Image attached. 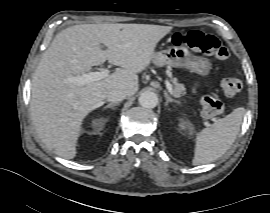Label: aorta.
Returning a JSON list of instances; mask_svg holds the SVG:
<instances>
[{
	"mask_svg": "<svg viewBox=\"0 0 270 213\" xmlns=\"http://www.w3.org/2000/svg\"><path fill=\"white\" fill-rule=\"evenodd\" d=\"M139 104L148 109L155 108L158 103V96L152 91H145L139 96Z\"/></svg>",
	"mask_w": 270,
	"mask_h": 213,
	"instance_id": "obj_1",
	"label": "aorta"
}]
</instances>
